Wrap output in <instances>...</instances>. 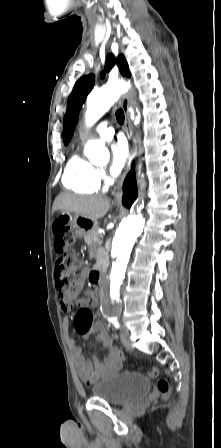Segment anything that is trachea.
<instances>
[{
  "label": "trachea",
  "mask_w": 221,
  "mask_h": 448,
  "mask_svg": "<svg viewBox=\"0 0 221 448\" xmlns=\"http://www.w3.org/2000/svg\"><path fill=\"white\" fill-rule=\"evenodd\" d=\"M116 119H117L119 124H123V122H124V112H123L122 109H118L116 111Z\"/></svg>",
  "instance_id": "trachea-1"
}]
</instances>
